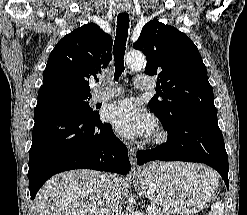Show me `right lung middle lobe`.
Here are the masks:
<instances>
[{"label":"right lung middle lobe","mask_w":247,"mask_h":215,"mask_svg":"<svg viewBox=\"0 0 247 215\" xmlns=\"http://www.w3.org/2000/svg\"><path fill=\"white\" fill-rule=\"evenodd\" d=\"M40 97L53 100L84 115L98 114L89 106L88 100L91 98V95L81 94L64 88H48L38 92V98Z\"/></svg>","instance_id":"dd1d6c3e"}]
</instances>
